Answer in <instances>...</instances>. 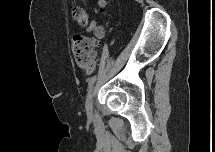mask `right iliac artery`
<instances>
[{
  "mask_svg": "<svg viewBox=\"0 0 215 152\" xmlns=\"http://www.w3.org/2000/svg\"><path fill=\"white\" fill-rule=\"evenodd\" d=\"M96 81V76H93L90 80H89V83H88V92L91 91L92 87H93V84L95 83Z\"/></svg>",
  "mask_w": 215,
  "mask_h": 152,
  "instance_id": "right-iliac-artery-1",
  "label": "right iliac artery"
}]
</instances>
